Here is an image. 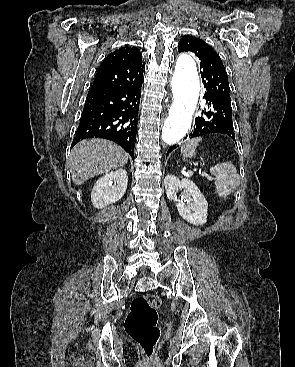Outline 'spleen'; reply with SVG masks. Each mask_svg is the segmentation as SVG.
<instances>
[{
    "label": "spleen",
    "mask_w": 295,
    "mask_h": 367,
    "mask_svg": "<svg viewBox=\"0 0 295 367\" xmlns=\"http://www.w3.org/2000/svg\"><path fill=\"white\" fill-rule=\"evenodd\" d=\"M200 141H202V138H196L187 141L181 147V154L184 158H192L196 154V148ZM210 172L216 177L215 190L221 198H226L240 184V177L237 174L236 167L231 162L227 161L217 164L210 169Z\"/></svg>",
    "instance_id": "3e777b00"
}]
</instances>
